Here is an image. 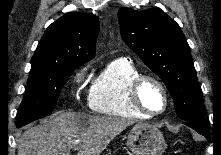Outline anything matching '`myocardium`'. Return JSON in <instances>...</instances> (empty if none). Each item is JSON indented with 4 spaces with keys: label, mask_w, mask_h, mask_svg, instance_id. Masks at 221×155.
<instances>
[{
    "label": "myocardium",
    "mask_w": 221,
    "mask_h": 155,
    "mask_svg": "<svg viewBox=\"0 0 221 155\" xmlns=\"http://www.w3.org/2000/svg\"><path fill=\"white\" fill-rule=\"evenodd\" d=\"M145 82H153L162 91V94L164 96V107L162 110L157 111V112L149 111L143 105L141 101V97H140V92ZM128 96H129V100L133 108L147 117H155V116H160L164 114L167 111L169 107V103H170V96H169L166 86L160 79L152 75L140 74L138 77H136L129 86Z\"/></svg>",
    "instance_id": "myocardium-1"
}]
</instances>
